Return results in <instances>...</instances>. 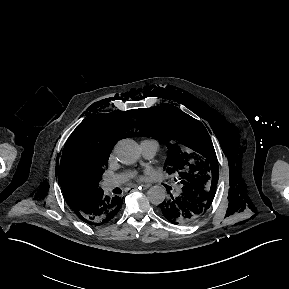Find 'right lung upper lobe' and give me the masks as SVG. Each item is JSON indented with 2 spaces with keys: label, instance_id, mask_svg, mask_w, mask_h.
I'll use <instances>...</instances> for the list:
<instances>
[{
  "label": "right lung upper lobe",
  "instance_id": "cb5924a9",
  "mask_svg": "<svg viewBox=\"0 0 289 289\" xmlns=\"http://www.w3.org/2000/svg\"><path fill=\"white\" fill-rule=\"evenodd\" d=\"M129 111L98 114L82 122L70 135L56 172L69 207L75 211L101 192L110 152L122 137L132 136L135 122Z\"/></svg>",
  "mask_w": 289,
  "mask_h": 289
}]
</instances>
